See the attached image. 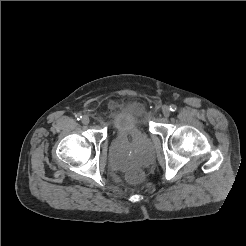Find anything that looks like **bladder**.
Masks as SVG:
<instances>
[{
	"instance_id": "bladder-1",
	"label": "bladder",
	"mask_w": 246,
	"mask_h": 246,
	"mask_svg": "<svg viewBox=\"0 0 246 246\" xmlns=\"http://www.w3.org/2000/svg\"><path fill=\"white\" fill-rule=\"evenodd\" d=\"M113 128L116 137H124L128 134H143L145 132V122L139 111L127 108L115 115L113 119ZM152 157L153 151L147 149L131 156L112 153L110 160L118 169H127L131 166L147 165L152 160Z\"/></svg>"
}]
</instances>
